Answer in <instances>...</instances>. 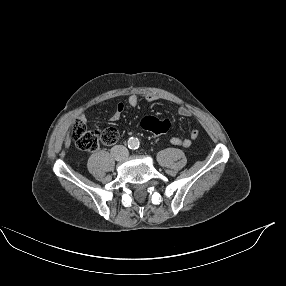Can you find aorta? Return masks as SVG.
<instances>
[{
	"mask_svg": "<svg viewBox=\"0 0 286 286\" xmlns=\"http://www.w3.org/2000/svg\"><path fill=\"white\" fill-rule=\"evenodd\" d=\"M128 146L132 149H136L139 146V140L137 138L131 137L128 140Z\"/></svg>",
	"mask_w": 286,
	"mask_h": 286,
	"instance_id": "obj_1",
	"label": "aorta"
}]
</instances>
